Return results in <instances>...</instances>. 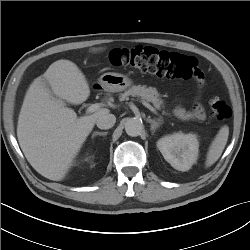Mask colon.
<instances>
[{
	"label": "colon",
	"mask_w": 250,
	"mask_h": 250,
	"mask_svg": "<svg viewBox=\"0 0 250 250\" xmlns=\"http://www.w3.org/2000/svg\"><path fill=\"white\" fill-rule=\"evenodd\" d=\"M114 66H130L137 70L171 79H192L202 84V73L192 56L178 52L158 50L153 47L117 48L110 54ZM212 115L219 121H227L232 116L229 104L218 98L210 100Z\"/></svg>",
	"instance_id": "colon-1"
}]
</instances>
